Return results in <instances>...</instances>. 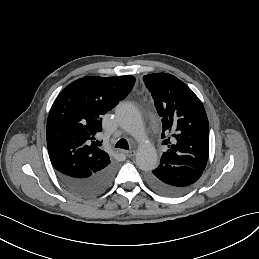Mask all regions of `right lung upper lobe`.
<instances>
[{"label":"right lung upper lobe","instance_id":"1","mask_svg":"<svg viewBox=\"0 0 259 259\" xmlns=\"http://www.w3.org/2000/svg\"><path fill=\"white\" fill-rule=\"evenodd\" d=\"M134 84L133 76H87L59 94L46 126L49 158L57 172L87 178L111 163L95 137L102 130L103 115L123 100Z\"/></svg>","mask_w":259,"mask_h":259}]
</instances>
